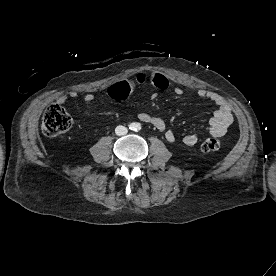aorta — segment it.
I'll return each mask as SVG.
<instances>
[{
    "label": "aorta",
    "instance_id": "762f6f07",
    "mask_svg": "<svg viewBox=\"0 0 276 276\" xmlns=\"http://www.w3.org/2000/svg\"><path fill=\"white\" fill-rule=\"evenodd\" d=\"M141 126L139 123H134L133 126H132V129L133 130H140Z\"/></svg>",
    "mask_w": 276,
    "mask_h": 276
}]
</instances>
